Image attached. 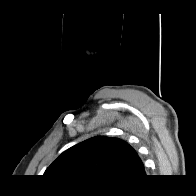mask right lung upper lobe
<instances>
[{"instance_id":"cb5924a9","label":"right lung upper lobe","mask_w":196,"mask_h":196,"mask_svg":"<svg viewBox=\"0 0 196 196\" xmlns=\"http://www.w3.org/2000/svg\"><path fill=\"white\" fill-rule=\"evenodd\" d=\"M58 182L115 186L145 177L136 151L125 141L96 136L64 151L45 171Z\"/></svg>"}]
</instances>
